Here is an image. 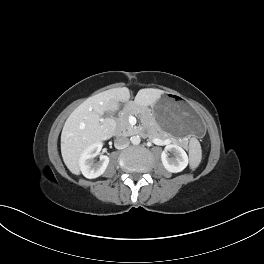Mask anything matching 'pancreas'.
Segmentation results:
<instances>
[{
  "mask_svg": "<svg viewBox=\"0 0 264 264\" xmlns=\"http://www.w3.org/2000/svg\"><path fill=\"white\" fill-rule=\"evenodd\" d=\"M138 111L137 106L131 105V107L126 108L123 110V112L120 114L119 118L117 119V125H118V130L124 134H133L136 129L129 123L128 119L130 115H136ZM155 124L153 123V126L151 127L150 130V135L155 136V137H164L161 134L157 133L155 131Z\"/></svg>",
  "mask_w": 264,
  "mask_h": 264,
  "instance_id": "pancreas-1",
  "label": "pancreas"
}]
</instances>
